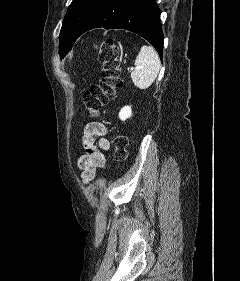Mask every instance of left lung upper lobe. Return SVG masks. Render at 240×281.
<instances>
[{
    "instance_id": "left-lung-upper-lobe-1",
    "label": "left lung upper lobe",
    "mask_w": 240,
    "mask_h": 281,
    "mask_svg": "<svg viewBox=\"0 0 240 281\" xmlns=\"http://www.w3.org/2000/svg\"><path fill=\"white\" fill-rule=\"evenodd\" d=\"M102 0H73L69 6L60 31V55L69 52L79 37L84 24Z\"/></svg>"
}]
</instances>
